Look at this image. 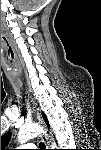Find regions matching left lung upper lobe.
<instances>
[{
    "instance_id": "obj_1",
    "label": "left lung upper lobe",
    "mask_w": 101,
    "mask_h": 150,
    "mask_svg": "<svg viewBox=\"0 0 101 150\" xmlns=\"http://www.w3.org/2000/svg\"><path fill=\"white\" fill-rule=\"evenodd\" d=\"M45 120H46V123L48 124L47 122V119H46V116H44ZM10 138H11V133L10 132H7L6 134H4L2 137H1V149H4L7 144L9 143L10 141Z\"/></svg>"
}]
</instances>
